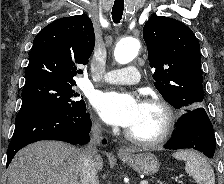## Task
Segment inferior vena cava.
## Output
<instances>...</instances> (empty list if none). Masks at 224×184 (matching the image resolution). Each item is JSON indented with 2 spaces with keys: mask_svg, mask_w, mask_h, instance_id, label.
Returning <instances> with one entry per match:
<instances>
[{
  "mask_svg": "<svg viewBox=\"0 0 224 184\" xmlns=\"http://www.w3.org/2000/svg\"><path fill=\"white\" fill-rule=\"evenodd\" d=\"M98 123L93 124L91 131V142L80 149L79 154V175L81 184H99L96 160L99 155L97 143L100 138Z\"/></svg>",
  "mask_w": 224,
  "mask_h": 184,
  "instance_id": "602c4592",
  "label": "inferior vena cava"
}]
</instances>
